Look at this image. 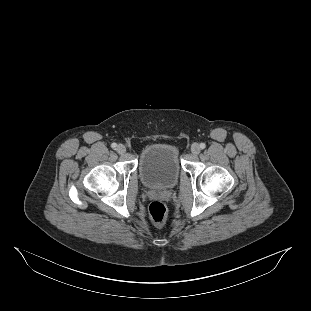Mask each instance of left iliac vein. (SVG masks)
Segmentation results:
<instances>
[{
	"instance_id": "obj_1",
	"label": "left iliac vein",
	"mask_w": 311,
	"mask_h": 311,
	"mask_svg": "<svg viewBox=\"0 0 311 311\" xmlns=\"http://www.w3.org/2000/svg\"><path fill=\"white\" fill-rule=\"evenodd\" d=\"M191 151L194 155H198L200 153V146L197 143L192 144Z\"/></svg>"
}]
</instances>
